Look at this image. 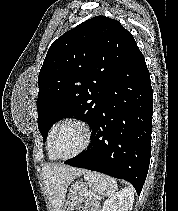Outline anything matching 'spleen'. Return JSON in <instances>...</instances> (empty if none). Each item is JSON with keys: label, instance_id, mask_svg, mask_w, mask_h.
<instances>
[{"label": "spleen", "instance_id": "obj_1", "mask_svg": "<svg viewBox=\"0 0 178 211\" xmlns=\"http://www.w3.org/2000/svg\"><path fill=\"white\" fill-rule=\"evenodd\" d=\"M84 179L92 190L98 194L112 196L118 189L116 180L106 174L87 171L84 175Z\"/></svg>", "mask_w": 178, "mask_h": 211}]
</instances>
